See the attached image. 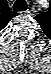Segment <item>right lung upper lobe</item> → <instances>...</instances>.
Listing matches in <instances>:
<instances>
[{"label":"right lung upper lobe","instance_id":"1","mask_svg":"<svg viewBox=\"0 0 51 74\" xmlns=\"http://www.w3.org/2000/svg\"><path fill=\"white\" fill-rule=\"evenodd\" d=\"M16 15V13H14V12H12V11H8V17H7V19H6V21H5V23H4V26L6 25V23L12 18V17H14Z\"/></svg>","mask_w":51,"mask_h":74}]
</instances>
